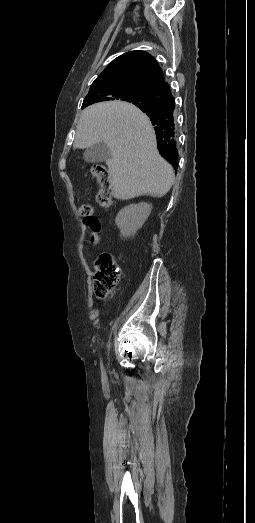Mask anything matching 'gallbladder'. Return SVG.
<instances>
[{
    "instance_id": "gallbladder-1",
    "label": "gallbladder",
    "mask_w": 255,
    "mask_h": 523,
    "mask_svg": "<svg viewBox=\"0 0 255 523\" xmlns=\"http://www.w3.org/2000/svg\"><path fill=\"white\" fill-rule=\"evenodd\" d=\"M83 158L85 162H105L110 160L111 152L105 142H98L85 150Z\"/></svg>"
}]
</instances>
